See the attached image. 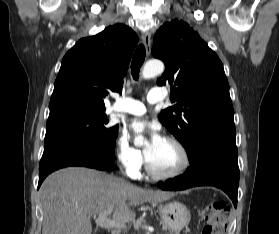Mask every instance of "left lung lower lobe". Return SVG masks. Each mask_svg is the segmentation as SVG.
Here are the masks:
<instances>
[{"label": "left lung lower lobe", "mask_w": 279, "mask_h": 234, "mask_svg": "<svg viewBox=\"0 0 279 234\" xmlns=\"http://www.w3.org/2000/svg\"><path fill=\"white\" fill-rule=\"evenodd\" d=\"M239 167L235 137H218L204 142L190 161L186 173L157 185L163 190H184L209 185L225 191L237 206Z\"/></svg>", "instance_id": "left-lung-lower-lobe-1"}]
</instances>
